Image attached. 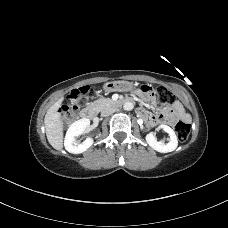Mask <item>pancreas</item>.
<instances>
[{
  "mask_svg": "<svg viewBox=\"0 0 228 228\" xmlns=\"http://www.w3.org/2000/svg\"><path fill=\"white\" fill-rule=\"evenodd\" d=\"M113 101L111 99H98L94 102L91 103V107L94 108L95 110L102 111L106 106L111 104Z\"/></svg>",
  "mask_w": 228,
  "mask_h": 228,
  "instance_id": "1",
  "label": "pancreas"
}]
</instances>
